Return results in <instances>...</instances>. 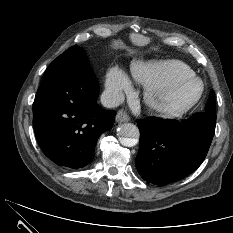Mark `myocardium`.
<instances>
[{
    "instance_id": "obj_1",
    "label": "myocardium",
    "mask_w": 233,
    "mask_h": 233,
    "mask_svg": "<svg viewBox=\"0 0 233 233\" xmlns=\"http://www.w3.org/2000/svg\"><path fill=\"white\" fill-rule=\"evenodd\" d=\"M196 82L199 85L197 95L188 103L181 106H169L161 102L160 95L164 92L174 89L177 85L184 82ZM204 84L200 78L195 75H186L175 78L169 82L156 84L146 87L143 95V102L147 110L152 114L163 119H177L188 114L201 101L204 94Z\"/></svg>"
}]
</instances>
